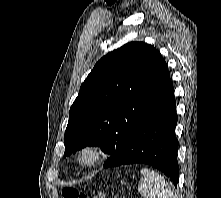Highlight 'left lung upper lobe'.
<instances>
[{"label":"left lung upper lobe","mask_w":221,"mask_h":198,"mask_svg":"<svg viewBox=\"0 0 221 198\" xmlns=\"http://www.w3.org/2000/svg\"><path fill=\"white\" fill-rule=\"evenodd\" d=\"M169 80L159 51L143 42L127 43L101 58L70 108L64 157L86 146L112 155L119 151Z\"/></svg>","instance_id":"1"}]
</instances>
